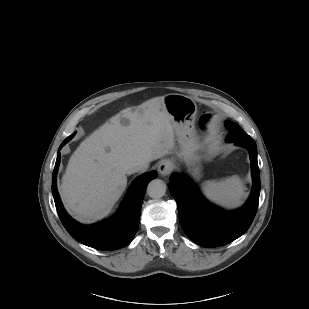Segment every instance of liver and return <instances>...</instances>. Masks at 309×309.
I'll list each match as a JSON object with an SVG mask.
<instances>
[{"instance_id":"6515ba94","label":"liver","mask_w":309,"mask_h":309,"mask_svg":"<svg viewBox=\"0 0 309 309\" xmlns=\"http://www.w3.org/2000/svg\"><path fill=\"white\" fill-rule=\"evenodd\" d=\"M175 130L164 97L129 107L88 136L72 154L59 193L70 215L90 223L106 216L134 164L172 153Z\"/></svg>"}]
</instances>
